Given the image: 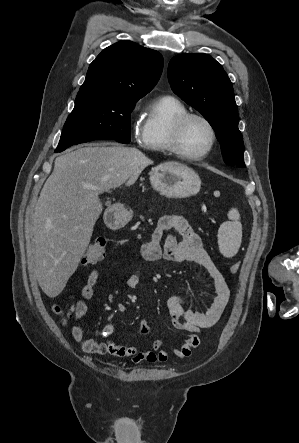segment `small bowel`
<instances>
[{"label":"small bowel","instance_id":"c3829d8e","mask_svg":"<svg viewBox=\"0 0 299 443\" xmlns=\"http://www.w3.org/2000/svg\"><path fill=\"white\" fill-rule=\"evenodd\" d=\"M176 235L181 237L177 241ZM141 254L148 262H156L165 259L173 262H195L208 272L213 282L215 297L211 306L204 313L192 311L186 308L187 300L180 295H173L167 301L168 311L171 317L172 326L178 331L189 333L185 344L180 348L164 350L163 342L159 339H150L147 348L140 349L135 346L118 345L110 339L96 341L87 338L83 329L74 324L71 334L74 340L80 345L82 351L87 354L105 355L109 354L120 358H129L133 363L146 361L149 363L163 362L169 357L185 358L192 354L198 346L200 336L207 329L213 327L220 319L230 297V290L224 276L212 260L205 249L200 236L189 226L187 220L178 215H167L160 218L154 229L151 239L141 246ZM117 269L116 264L111 265ZM100 277V272L92 270L82 286L80 300L75 305V320L80 319L87 312L86 301L93 295L94 286ZM139 272L129 279L131 286H136L139 282ZM118 312H127V306L119 303ZM115 327L112 323H106L101 329V335L108 338L113 334ZM140 334L145 338H150V327L145 319L140 321Z\"/></svg>","mask_w":299,"mask_h":443}]
</instances>
